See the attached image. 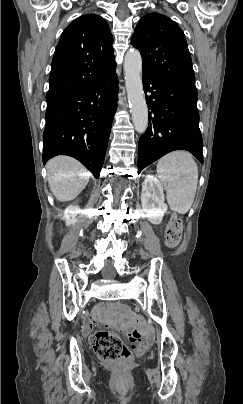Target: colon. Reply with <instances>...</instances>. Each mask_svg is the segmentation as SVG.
I'll list each match as a JSON object with an SVG mask.
<instances>
[{"label":"colon","mask_w":243,"mask_h":404,"mask_svg":"<svg viewBox=\"0 0 243 404\" xmlns=\"http://www.w3.org/2000/svg\"><path fill=\"white\" fill-rule=\"evenodd\" d=\"M182 233V222L179 218H174L168 225L165 244L168 247H175ZM107 307L120 314H127L128 308L120 302H110ZM130 345H127L121 337L110 331H98L92 338L97 356L105 361L114 362L128 359L132 353H144L150 346V339L141 334L139 330H133L127 334Z\"/></svg>","instance_id":"1"}]
</instances>
